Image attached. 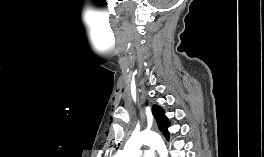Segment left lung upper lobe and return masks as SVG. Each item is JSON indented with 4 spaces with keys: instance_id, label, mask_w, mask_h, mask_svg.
<instances>
[{
    "instance_id": "obj_1",
    "label": "left lung upper lobe",
    "mask_w": 264,
    "mask_h": 157,
    "mask_svg": "<svg viewBox=\"0 0 264 157\" xmlns=\"http://www.w3.org/2000/svg\"><path fill=\"white\" fill-rule=\"evenodd\" d=\"M153 115L157 121L159 130L164 134L165 138L169 140L170 134L168 131L169 120L164 116V111L161 107L154 105L152 108Z\"/></svg>"
}]
</instances>
